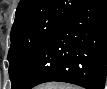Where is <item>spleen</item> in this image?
<instances>
[{"instance_id":"3e777b00","label":"spleen","mask_w":107,"mask_h":89,"mask_svg":"<svg viewBox=\"0 0 107 89\" xmlns=\"http://www.w3.org/2000/svg\"><path fill=\"white\" fill-rule=\"evenodd\" d=\"M55 89H78L77 87H73L70 85L59 84L54 87Z\"/></svg>"}]
</instances>
